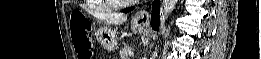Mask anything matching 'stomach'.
I'll return each instance as SVG.
<instances>
[{
  "instance_id": "1",
  "label": "stomach",
  "mask_w": 261,
  "mask_h": 59,
  "mask_svg": "<svg viewBox=\"0 0 261 59\" xmlns=\"http://www.w3.org/2000/svg\"><path fill=\"white\" fill-rule=\"evenodd\" d=\"M131 28L134 32H142L144 25L132 22ZM96 37L106 51L111 52L117 49L118 36L116 30L111 29L109 26L101 27L97 30Z\"/></svg>"
}]
</instances>
